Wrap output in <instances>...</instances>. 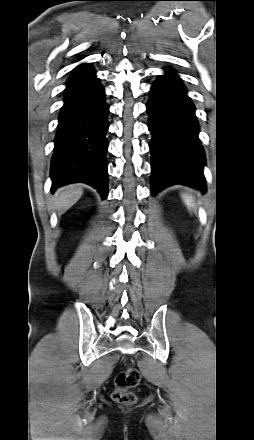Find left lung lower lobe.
Segmentation results:
<instances>
[{
    "instance_id": "1",
    "label": "left lung lower lobe",
    "mask_w": 254,
    "mask_h": 440,
    "mask_svg": "<svg viewBox=\"0 0 254 440\" xmlns=\"http://www.w3.org/2000/svg\"><path fill=\"white\" fill-rule=\"evenodd\" d=\"M150 90L146 105L152 133V194L173 184L206 191L205 156L195 107L174 69H165Z\"/></svg>"
}]
</instances>
